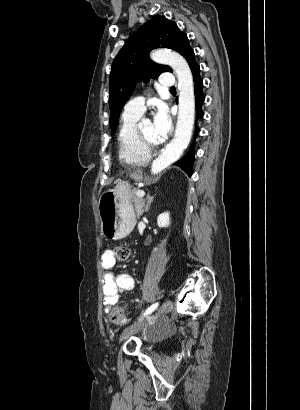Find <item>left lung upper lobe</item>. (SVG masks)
I'll list each match as a JSON object with an SVG mask.
<instances>
[{
  "instance_id": "5c2ea615",
  "label": "left lung upper lobe",
  "mask_w": 300,
  "mask_h": 410,
  "mask_svg": "<svg viewBox=\"0 0 300 410\" xmlns=\"http://www.w3.org/2000/svg\"><path fill=\"white\" fill-rule=\"evenodd\" d=\"M158 47L173 49L187 61L194 53L187 35L179 30L175 22L165 16L155 15L132 34L111 67L109 106L112 134L117 129L120 112L131 97L136 83L157 78L162 72L172 71L169 66L150 60L149 52Z\"/></svg>"
}]
</instances>
